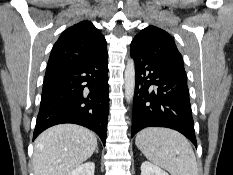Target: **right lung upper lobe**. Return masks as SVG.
I'll return each instance as SVG.
<instances>
[{
    "label": "right lung upper lobe",
    "mask_w": 233,
    "mask_h": 175,
    "mask_svg": "<svg viewBox=\"0 0 233 175\" xmlns=\"http://www.w3.org/2000/svg\"><path fill=\"white\" fill-rule=\"evenodd\" d=\"M106 52V40L101 32L90 21L79 22L66 29L54 44L45 75L92 60Z\"/></svg>",
    "instance_id": "1"
}]
</instances>
